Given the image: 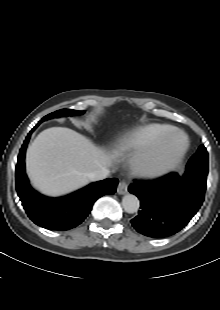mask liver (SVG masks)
I'll use <instances>...</instances> for the list:
<instances>
[{
	"mask_svg": "<svg viewBox=\"0 0 220 310\" xmlns=\"http://www.w3.org/2000/svg\"><path fill=\"white\" fill-rule=\"evenodd\" d=\"M116 157L72 129L52 127L28 148L26 169L35 188L60 196L87 185L88 173L112 166Z\"/></svg>",
	"mask_w": 220,
	"mask_h": 310,
	"instance_id": "1",
	"label": "liver"
}]
</instances>
